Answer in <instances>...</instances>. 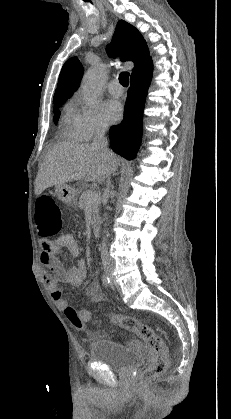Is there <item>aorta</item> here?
<instances>
[{"label":"aorta","mask_w":231,"mask_h":419,"mask_svg":"<svg viewBox=\"0 0 231 419\" xmlns=\"http://www.w3.org/2000/svg\"><path fill=\"white\" fill-rule=\"evenodd\" d=\"M105 74L106 69L103 64L91 68L85 74L81 84V92L89 105H93L98 98L102 89Z\"/></svg>","instance_id":"762f6f07"}]
</instances>
